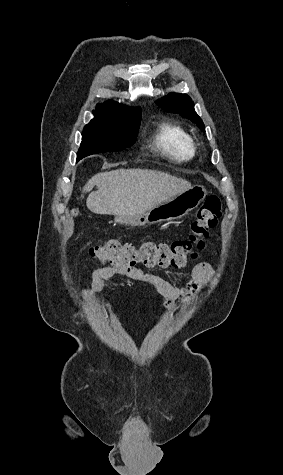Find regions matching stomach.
<instances>
[{
	"mask_svg": "<svg viewBox=\"0 0 283 475\" xmlns=\"http://www.w3.org/2000/svg\"><path fill=\"white\" fill-rule=\"evenodd\" d=\"M207 192L204 186H192L187 192L178 194L166 202H161L155 208L146 210L143 214H134V216H115L116 224H125V226H145V224H161V222H171L179 220L191 210H195L203 200Z\"/></svg>",
	"mask_w": 283,
	"mask_h": 475,
	"instance_id": "stomach-1",
	"label": "stomach"
}]
</instances>
